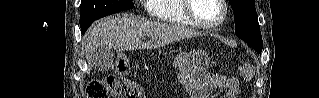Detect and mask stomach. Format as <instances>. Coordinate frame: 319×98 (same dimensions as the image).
Masks as SVG:
<instances>
[{
    "mask_svg": "<svg viewBox=\"0 0 319 98\" xmlns=\"http://www.w3.org/2000/svg\"><path fill=\"white\" fill-rule=\"evenodd\" d=\"M208 67V59L203 51H195L183 64L179 78L192 98H203V76Z\"/></svg>",
    "mask_w": 319,
    "mask_h": 98,
    "instance_id": "stomach-1",
    "label": "stomach"
}]
</instances>
